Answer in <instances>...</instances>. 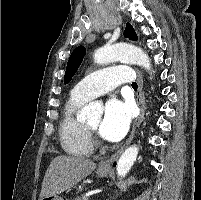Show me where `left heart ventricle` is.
<instances>
[{
    "label": "left heart ventricle",
    "instance_id": "1",
    "mask_svg": "<svg viewBox=\"0 0 201 200\" xmlns=\"http://www.w3.org/2000/svg\"><path fill=\"white\" fill-rule=\"evenodd\" d=\"M101 118H97V119H95V120H92V121H90V122H88L87 123V125L90 127V128H92V129H94V130H99V128H100V125H101Z\"/></svg>",
    "mask_w": 201,
    "mask_h": 200
}]
</instances>
